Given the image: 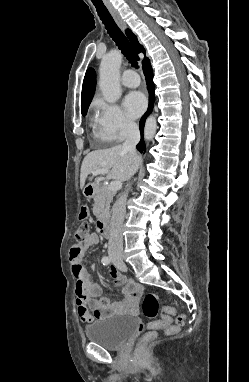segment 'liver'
<instances>
[{"label": "liver", "instance_id": "liver-1", "mask_svg": "<svg viewBox=\"0 0 249 382\" xmlns=\"http://www.w3.org/2000/svg\"><path fill=\"white\" fill-rule=\"evenodd\" d=\"M141 158L137 157L139 165ZM133 159L121 145H116L108 149L92 151L85 156L81 165L80 186L84 187L89 174L98 169H107L108 178L126 181L131 177Z\"/></svg>", "mask_w": 249, "mask_h": 382}]
</instances>
